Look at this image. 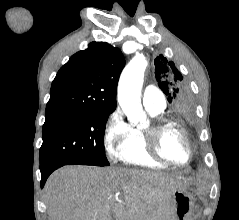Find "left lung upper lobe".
Listing matches in <instances>:
<instances>
[{
    "label": "left lung upper lobe",
    "mask_w": 239,
    "mask_h": 220,
    "mask_svg": "<svg viewBox=\"0 0 239 220\" xmlns=\"http://www.w3.org/2000/svg\"><path fill=\"white\" fill-rule=\"evenodd\" d=\"M154 64L158 86L167 96L173 114L185 122H193L195 108L186 87L181 83L183 80L181 72L174 62L168 61L163 55H159L154 60Z\"/></svg>",
    "instance_id": "left-lung-upper-lobe-1"
}]
</instances>
